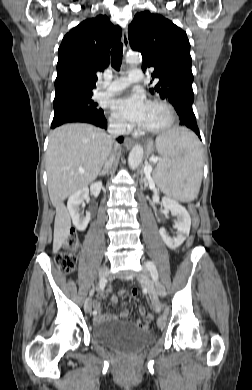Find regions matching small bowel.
I'll use <instances>...</instances> for the list:
<instances>
[{
  "instance_id": "small-bowel-1",
  "label": "small bowel",
  "mask_w": 252,
  "mask_h": 390,
  "mask_svg": "<svg viewBox=\"0 0 252 390\" xmlns=\"http://www.w3.org/2000/svg\"><path fill=\"white\" fill-rule=\"evenodd\" d=\"M111 292H112L111 288H108L106 291L101 290L99 292V294H98V297L99 298H104ZM119 295L123 296V295H125V292L123 290H120L119 291ZM111 302L113 304H117L118 296L115 295V294H112L111 295ZM93 307H94V310L97 312V315L94 316V319H95L96 322H102L104 320H121V321L132 322L133 324H135L137 327H140V328L141 327H146L147 324H148L147 322L143 323L140 319H136V320L130 319L128 317V311L127 310H124L120 314H102L101 313V303H100L99 300H95L93 302ZM139 313H140L141 316H143L145 318V316L147 315L145 307L141 306L140 309H139Z\"/></svg>"
}]
</instances>
